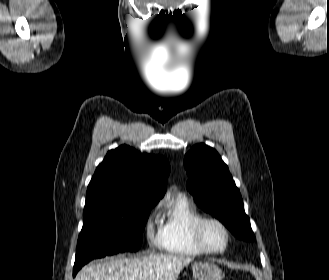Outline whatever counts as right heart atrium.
<instances>
[{
  "mask_svg": "<svg viewBox=\"0 0 329 280\" xmlns=\"http://www.w3.org/2000/svg\"><path fill=\"white\" fill-rule=\"evenodd\" d=\"M161 203H156L148 212L145 220H144V233L147 241L151 245H155L159 243L160 235H161V227H157L156 225V216L160 210Z\"/></svg>",
  "mask_w": 329,
  "mask_h": 280,
  "instance_id": "1",
  "label": "right heart atrium"
}]
</instances>
